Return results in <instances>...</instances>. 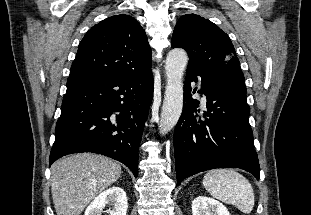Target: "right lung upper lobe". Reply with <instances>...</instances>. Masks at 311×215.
<instances>
[{
  "mask_svg": "<svg viewBox=\"0 0 311 215\" xmlns=\"http://www.w3.org/2000/svg\"><path fill=\"white\" fill-rule=\"evenodd\" d=\"M151 64V49L139 22L129 15H114L87 31L69 78L138 75L149 71Z\"/></svg>",
  "mask_w": 311,
  "mask_h": 215,
  "instance_id": "right-lung-upper-lobe-1",
  "label": "right lung upper lobe"
}]
</instances>
